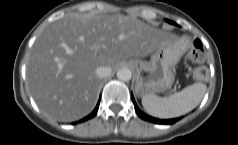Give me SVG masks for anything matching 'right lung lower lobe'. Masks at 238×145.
Here are the masks:
<instances>
[{"mask_svg": "<svg viewBox=\"0 0 238 145\" xmlns=\"http://www.w3.org/2000/svg\"><path fill=\"white\" fill-rule=\"evenodd\" d=\"M99 103H100V99H99V101H98L97 106H96L95 109L93 110V112H92L90 115H88L87 117H85V118H83L82 120H80V122H83V121H86V120H88V119H90V118H93V117L96 115L97 111H98Z\"/></svg>", "mask_w": 238, "mask_h": 145, "instance_id": "right-lung-lower-lobe-1", "label": "right lung lower lobe"}]
</instances>
